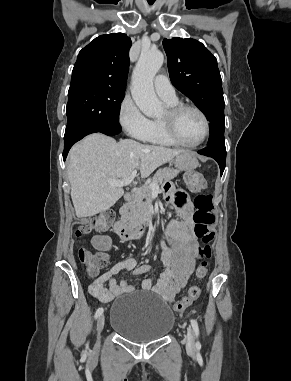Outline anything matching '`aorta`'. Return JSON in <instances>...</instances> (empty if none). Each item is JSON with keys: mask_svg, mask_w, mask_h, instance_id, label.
<instances>
[{"mask_svg": "<svg viewBox=\"0 0 291 381\" xmlns=\"http://www.w3.org/2000/svg\"><path fill=\"white\" fill-rule=\"evenodd\" d=\"M164 56L159 50L142 51L132 74V97L138 108L147 116L162 112V103L155 94L153 79L161 68Z\"/></svg>", "mask_w": 291, "mask_h": 381, "instance_id": "762f6f07", "label": "aorta"}]
</instances>
